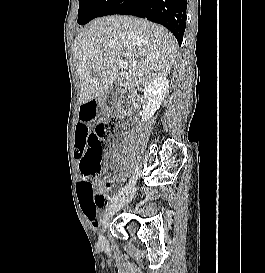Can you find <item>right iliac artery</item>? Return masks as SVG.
<instances>
[{
    "label": "right iliac artery",
    "mask_w": 265,
    "mask_h": 273,
    "mask_svg": "<svg viewBox=\"0 0 265 273\" xmlns=\"http://www.w3.org/2000/svg\"><path fill=\"white\" fill-rule=\"evenodd\" d=\"M139 169L136 167L135 172L131 179L129 180V183L126 184L121 191H119L118 194L114 195L110 202H116L121 196H124V194L128 193V191L132 188V186L136 183V180L138 179Z\"/></svg>",
    "instance_id": "1"
}]
</instances>
